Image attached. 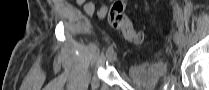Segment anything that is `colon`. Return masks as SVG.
<instances>
[{"mask_svg":"<svg viewBox=\"0 0 209 90\" xmlns=\"http://www.w3.org/2000/svg\"><path fill=\"white\" fill-rule=\"evenodd\" d=\"M124 1H115L108 12L110 24L118 29L128 42L134 45H141L144 42V34L137 31L130 19L124 13Z\"/></svg>","mask_w":209,"mask_h":90,"instance_id":"5ec220e1","label":"colon"}]
</instances>
